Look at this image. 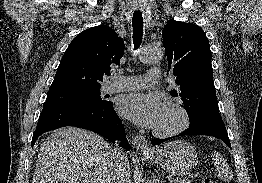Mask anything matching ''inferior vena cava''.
Wrapping results in <instances>:
<instances>
[{
    "label": "inferior vena cava",
    "instance_id": "inferior-vena-cava-1",
    "mask_svg": "<svg viewBox=\"0 0 262 183\" xmlns=\"http://www.w3.org/2000/svg\"><path fill=\"white\" fill-rule=\"evenodd\" d=\"M107 155L112 183H132L126 153L121 149L109 147Z\"/></svg>",
    "mask_w": 262,
    "mask_h": 183
}]
</instances>
